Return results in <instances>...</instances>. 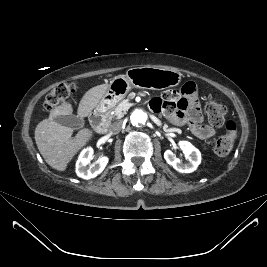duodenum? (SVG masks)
<instances>
[{
  "label": "duodenum",
  "instance_id": "410a0bca",
  "mask_svg": "<svg viewBox=\"0 0 267 267\" xmlns=\"http://www.w3.org/2000/svg\"><path fill=\"white\" fill-rule=\"evenodd\" d=\"M90 122L92 127L99 133H105L108 129L106 114L102 109L95 110L90 115Z\"/></svg>",
  "mask_w": 267,
  "mask_h": 267
}]
</instances>
